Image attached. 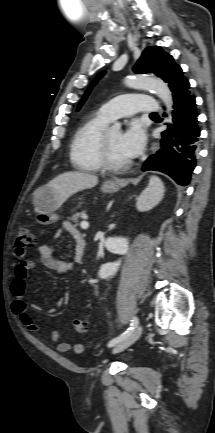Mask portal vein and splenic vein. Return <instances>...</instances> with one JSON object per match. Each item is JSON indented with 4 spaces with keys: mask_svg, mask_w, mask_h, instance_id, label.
<instances>
[{
    "mask_svg": "<svg viewBox=\"0 0 215 433\" xmlns=\"http://www.w3.org/2000/svg\"><path fill=\"white\" fill-rule=\"evenodd\" d=\"M80 226L82 229H87L89 227V223L86 220H84L80 223Z\"/></svg>",
    "mask_w": 215,
    "mask_h": 433,
    "instance_id": "1",
    "label": "portal vein and splenic vein"
}]
</instances>
